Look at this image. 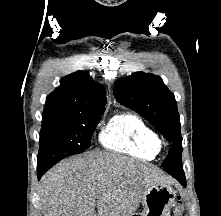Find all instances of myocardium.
Instances as JSON below:
<instances>
[{"instance_id":"f54148a6","label":"myocardium","mask_w":221,"mask_h":216,"mask_svg":"<svg viewBox=\"0 0 221 216\" xmlns=\"http://www.w3.org/2000/svg\"><path fill=\"white\" fill-rule=\"evenodd\" d=\"M156 146L158 149H161L163 147V143L159 139H157Z\"/></svg>"}]
</instances>
